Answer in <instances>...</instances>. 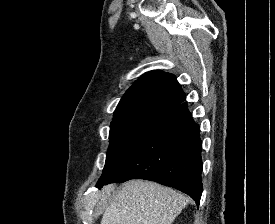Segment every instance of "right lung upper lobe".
<instances>
[{
	"mask_svg": "<svg viewBox=\"0 0 275 224\" xmlns=\"http://www.w3.org/2000/svg\"><path fill=\"white\" fill-rule=\"evenodd\" d=\"M185 100V94L174 75L162 71L143 74L124 94L114 118L142 110H168Z\"/></svg>",
	"mask_w": 275,
	"mask_h": 224,
	"instance_id": "cb5924a9",
	"label": "right lung upper lobe"
}]
</instances>
